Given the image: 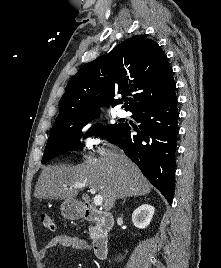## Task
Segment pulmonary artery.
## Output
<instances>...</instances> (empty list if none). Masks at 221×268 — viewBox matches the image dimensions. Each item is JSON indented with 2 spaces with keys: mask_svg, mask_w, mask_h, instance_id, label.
<instances>
[{
  "mask_svg": "<svg viewBox=\"0 0 221 268\" xmlns=\"http://www.w3.org/2000/svg\"><path fill=\"white\" fill-rule=\"evenodd\" d=\"M117 114H118V116L120 117V118H124V117H126L127 116V112L125 111V110H119L118 112H117Z\"/></svg>",
  "mask_w": 221,
  "mask_h": 268,
  "instance_id": "pulmonary-artery-1",
  "label": "pulmonary artery"
}]
</instances>
